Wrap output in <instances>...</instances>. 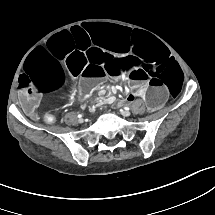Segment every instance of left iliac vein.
Instances as JSON below:
<instances>
[{"label": "left iliac vein", "mask_w": 215, "mask_h": 215, "mask_svg": "<svg viewBox=\"0 0 215 215\" xmlns=\"http://www.w3.org/2000/svg\"><path fill=\"white\" fill-rule=\"evenodd\" d=\"M121 114L125 117H129L131 115V112L129 110H122Z\"/></svg>", "instance_id": "obj_1"}]
</instances>
